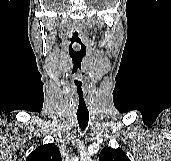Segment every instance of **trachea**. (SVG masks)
<instances>
[{"label": "trachea", "instance_id": "trachea-1", "mask_svg": "<svg viewBox=\"0 0 171 161\" xmlns=\"http://www.w3.org/2000/svg\"><path fill=\"white\" fill-rule=\"evenodd\" d=\"M77 120L80 129L85 130L89 121V112H77Z\"/></svg>", "mask_w": 171, "mask_h": 161}]
</instances>
